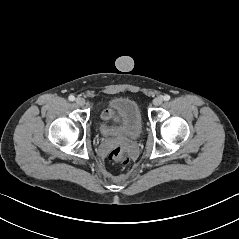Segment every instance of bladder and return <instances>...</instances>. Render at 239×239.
I'll return each mask as SVG.
<instances>
[{
	"instance_id": "1",
	"label": "bladder",
	"mask_w": 239,
	"mask_h": 239,
	"mask_svg": "<svg viewBox=\"0 0 239 239\" xmlns=\"http://www.w3.org/2000/svg\"><path fill=\"white\" fill-rule=\"evenodd\" d=\"M108 109L116 116L113 125L101 124V133L112 139H137L142 132V117L138 104L126 97L109 101Z\"/></svg>"
}]
</instances>
